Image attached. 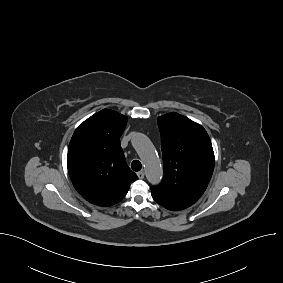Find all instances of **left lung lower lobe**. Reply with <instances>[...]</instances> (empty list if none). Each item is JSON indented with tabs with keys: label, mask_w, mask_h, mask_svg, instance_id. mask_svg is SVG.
Masks as SVG:
<instances>
[{
	"label": "left lung lower lobe",
	"mask_w": 283,
	"mask_h": 283,
	"mask_svg": "<svg viewBox=\"0 0 283 283\" xmlns=\"http://www.w3.org/2000/svg\"><path fill=\"white\" fill-rule=\"evenodd\" d=\"M152 197H153V199L157 202V203H159L160 205H162L163 207H165V208H167L164 204H162L155 196H153L152 195ZM167 209H169V208H167ZM171 210V209H170Z\"/></svg>",
	"instance_id": "1"
}]
</instances>
